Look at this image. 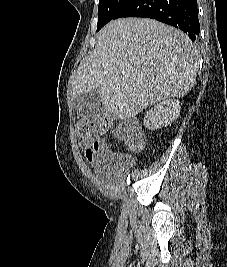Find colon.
Here are the masks:
<instances>
[{"mask_svg":"<svg viewBox=\"0 0 227 267\" xmlns=\"http://www.w3.org/2000/svg\"><path fill=\"white\" fill-rule=\"evenodd\" d=\"M113 126V116L109 112L101 111L92 117L80 116L77 130L83 138H90L99 143L102 136ZM120 139L133 151H139L144 146V135L140 128L133 122L126 121L117 130Z\"/></svg>","mask_w":227,"mask_h":267,"instance_id":"1","label":"colon"}]
</instances>
